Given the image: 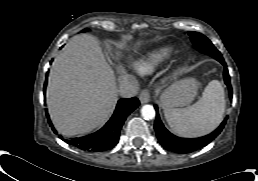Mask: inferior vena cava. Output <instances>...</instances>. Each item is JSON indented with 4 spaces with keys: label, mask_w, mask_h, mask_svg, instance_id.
Instances as JSON below:
<instances>
[{
    "label": "inferior vena cava",
    "mask_w": 258,
    "mask_h": 181,
    "mask_svg": "<svg viewBox=\"0 0 258 181\" xmlns=\"http://www.w3.org/2000/svg\"><path fill=\"white\" fill-rule=\"evenodd\" d=\"M138 81L130 75H122L118 78V93L124 98H130L138 93Z\"/></svg>",
    "instance_id": "obj_1"
}]
</instances>
